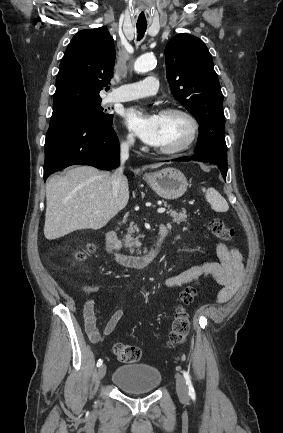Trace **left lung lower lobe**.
<instances>
[{
  "mask_svg": "<svg viewBox=\"0 0 283 433\" xmlns=\"http://www.w3.org/2000/svg\"><path fill=\"white\" fill-rule=\"evenodd\" d=\"M209 161L218 166L221 174L226 180L227 164V146L225 142V133L217 128L200 131L198 137V146L192 157H180L172 161Z\"/></svg>",
  "mask_w": 283,
  "mask_h": 433,
  "instance_id": "0a47b994",
  "label": "left lung lower lobe"
}]
</instances>
